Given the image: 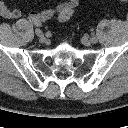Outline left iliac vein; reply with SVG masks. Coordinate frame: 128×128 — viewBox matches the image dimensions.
Returning a JSON list of instances; mask_svg holds the SVG:
<instances>
[{
    "instance_id": "obj_1",
    "label": "left iliac vein",
    "mask_w": 128,
    "mask_h": 128,
    "mask_svg": "<svg viewBox=\"0 0 128 128\" xmlns=\"http://www.w3.org/2000/svg\"><path fill=\"white\" fill-rule=\"evenodd\" d=\"M82 43L85 45V46H89L92 41L86 37L82 38Z\"/></svg>"
}]
</instances>
